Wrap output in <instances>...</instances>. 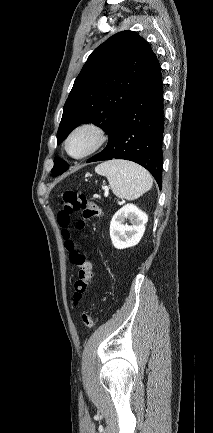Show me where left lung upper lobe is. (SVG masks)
I'll return each instance as SVG.
<instances>
[{
	"instance_id": "5c2ea615",
	"label": "left lung upper lobe",
	"mask_w": 213,
	"mask_h": 433,
	"mask_svg": "<svg viewBox=\"0 0 213 433\" xmlns=\"http://www.w3.org/2000/svg\"><path fill=\"white\" fill-rule=\"evenodd\" d=\"M157 61L149 43L134 31L116 33L97 47L64 104L57 143L83 123L92 122L110 134ZM67 169L65 161L55 158L52 176Z\"/></svg>"
}]
</instances>
